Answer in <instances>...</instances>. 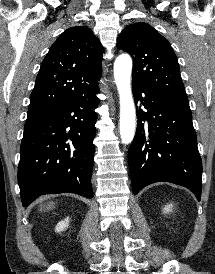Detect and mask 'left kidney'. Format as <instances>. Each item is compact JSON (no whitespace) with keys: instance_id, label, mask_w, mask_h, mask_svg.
Instances as JSON below:
<instances>
[{"instance_id":"5707ae66","label":"left kidney","mask_w":215,"mask_h":274,"mask_svg":"<svg viewBox=\"0 0 215 274\" xmlns=\"http://www.w3.org/2000/svg\"><path fill=\"white\" fill-rule=\"evenodd\" d=\"M172 207H173V205L172 204H168V205H166L164 208H163V213H169V212H171L172 211Z\"/></svg>"}]
</instances>
